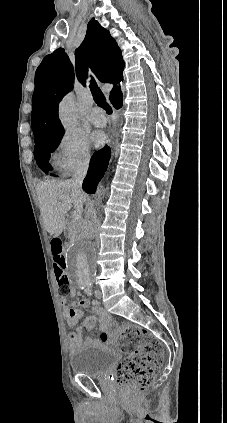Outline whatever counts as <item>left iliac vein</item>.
Instances as JSON below:
<instances>
[{
    "label": "left iliac vein",
    "instance_id": "4c4485c4",
    "mask_svg": "<svg viewBox=\"0 0 227 423\" xmlns=\"http://www.w3.org/2000/svg\"><path fill=\"white\" fill-rule=\"evenodd\" d=\"M95 296H96V298H97V299H101V298H102V293H101V291H100V290H96V291H95Z\"/></svg>",
    "mask_w": 227,
    "mask_h": 423
}]
</instances>
